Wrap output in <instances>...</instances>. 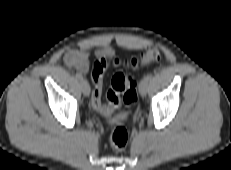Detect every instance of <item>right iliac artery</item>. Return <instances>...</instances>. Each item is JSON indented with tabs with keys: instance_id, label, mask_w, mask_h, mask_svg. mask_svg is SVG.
<instances>
[{
	"instance_id": "right-iliac-artery-1",
	"label": "right iliac artery",
	"mask_w": 231,
	"mask_h": 170,
	"mask_svg": "<svg viewBox=\"0 0 231 170\" xmlns=\"http://www.w3.org/2000/svg\"><path fill=\"white\" fill-rule=\"evenodd\" d=\"M75 76H76V78H78V79H80V80H82V79H83L82 75H81V74H79V73H76V74H75Z\"/></svg>"
}]
</instances>
